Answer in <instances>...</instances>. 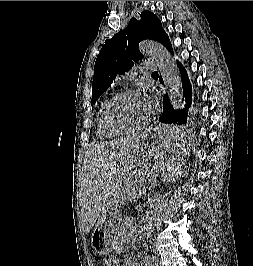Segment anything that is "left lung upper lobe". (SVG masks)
<instances>
[{
    "mask_svg": "<svg viewBox=\"0 0 253 266\" xmlns=\"http://www.w3.org/2000/svg\"><path fill=\"white\" fill-rule=\"evenodd\" d=\"M140 16V21L132 18L128 27L120 30L100 50L94 66L92 104L111 86L117 75L128 72L134 62L142 59L138 49L140 41L151 39L164 44L168 38L154 13L143 11Z\"/></svg>",
    "mask_w": 253,
    "mask_h": 266,
    "instance_id": "obj_1",
    "label": "left lung upper lobe"
}]
</instances>
